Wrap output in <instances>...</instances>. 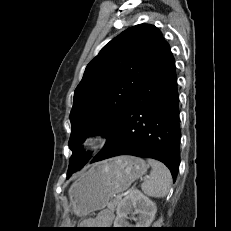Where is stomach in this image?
Instances as JSON below:
<instances>
[{"instance_id":"1","label":"stomach","mask_w":231,"mask_h":231,"mask_svg":"<svg viewBox=\"0 0 231 231\" xmlns=\"http://www.w3.org/2000/svg\"><path fill=\"white\" fill-rule=\"evenodd\" d=\"M147 168L144 160L134 156H118L97 163L70 188L74 213L86 216L105 208L113 195L127 190Z\"/></svg>"}]
</instances>
